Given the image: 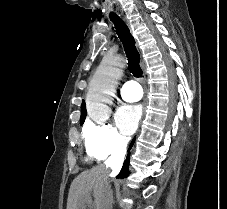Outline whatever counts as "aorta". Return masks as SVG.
Masks as SVG:
<instances>
[{
  "instance_id": "762f6f07",
  "label": "aorta",
  "mask_w": 227,
  "mask_h": 209,
  "mask_svg": "<svg viewBox=\"0 0 227 209\" xmlns=\"http://www.w3.org/2000/svg\"><path fill=\"white\" fill-rule=\"evenodd\" d=\"M124 66L125 59L121 55L107 56L94 73L87 94V112L93 120L100 121L108 116V103Z\"/></svg>"
}]
</instances>
